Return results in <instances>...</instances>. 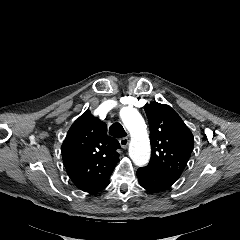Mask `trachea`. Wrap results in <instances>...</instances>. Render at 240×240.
<instances>
[{
	"label": "trachea",
	"mask_w": 240,
	"mask_h": 240,
	"mask_svg": "<svg viewBox=\"0 0 240 240\" xmlns=\"http://www.w3.org/2000/svg\"><path fill=\"white\" fill-rule=\"evenodd\" d=\"M109 134L116 138H124L127 136L123 126L118 122L109 127Z\"/></svg>",
	"instance_id": "1"
}]
</instances>
